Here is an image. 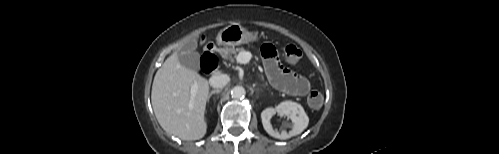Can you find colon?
I'll list each match as a JSON object with an SVG mask.
<instances>
[{"instance_id":"1","label":"colon","mask_w":499,"mask_h":154,"mask_svg":"<svg viewBox=\"0 0 499 154\" xmlns=\"http://www.w3.org/2000/svg\"><path fill=\"white\" fill-rule=\"evenodd\" d=\"M302 57L301 50L295 45H288L284 49V59L289 64H296ZM213 68L218 66V59L215 55H210ZM308 104L312 108H319L323 104V96L317 90H312L308 95Z\"/></svg>"}]
</instances>
